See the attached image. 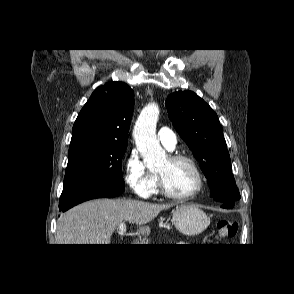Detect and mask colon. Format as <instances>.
<instances>
[{"label":"colon","mask_w":294,"mask_h":294,"mask_svg":"<svg viewBox=\"0 0 294 294\" xmlns=\"http://www.w3.org/2000/svg\"><path fill=\"white\" fill-rule=\"evenodd\" d=\"M237 232V223L232 220H221L217 223V234L219 238H231Z\"/></svg>","instance_id":"5ec220e1"}]
</instances>
